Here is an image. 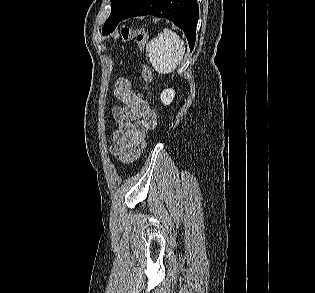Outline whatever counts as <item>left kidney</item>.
<instances>
[{
    "label": "left kidney",
    "mask_w": 315,
    "mask_h": 293,
    "mask_svg": "<svg viewBox=\"0 0 315 293\" xmlns=\"http://www.w3.org/2000/svg\"><path fill=\"white\" fill-rule=\"evenodd\" d=\"M175 97V91L173 89H165L160 95V99L164 105H169Z\"/></svg>",
    "instance_id": "obj_1"
}]
</instances>
